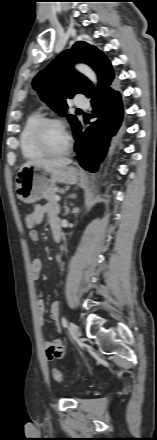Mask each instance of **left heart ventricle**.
I'll return each instance as SVG.
<instances>
[{
	"instance_id": "obj_1",
	"label": "left heart ventricle",
	"mask_w": 157,
	"mask_h": 440,
	"mask_svg": "<svg viewBox=\"0 0 157 440\" xmlns=\"http://www.w3.org/2000/svg\"><path fill=\"white\" fill-rule=\"evenodd\" d=\"M43 139L46 147L51 151H61L68 142L65 130L59 125L47 126L43 132Z\"/></svg>"
}]
</instances>
